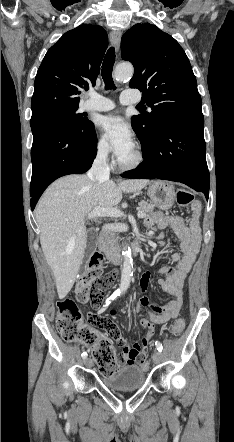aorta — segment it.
Instances as JSON below:
<instances>
[{"label": "aorta", "mask_w": 234, "mask_h": 442, "mask_svg": "<svg viewBox=\"0 0 234 442\" xmlns=\"http://www.w3.org/2000/svg\"><path fill=\"white\" fill-rule=\"evenodd\" d=\"M134 72L132 64L123 63L116 66L114 71V78L119 81H125L132 77ZM123 267L121 271V283L119 287L120 293H125L130 286L132 269H133V260L131 256V249L127 246L123 248Z\"/></svg>", "instance_id": "aorta-1"}]
</instances>
